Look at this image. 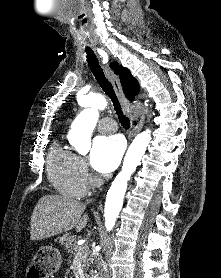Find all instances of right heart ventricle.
Masks as SVG:
<instances>
[{
    "label": "right heart ventricle",
    "mask_w": 221,
    "mask_h": 278,
    "mask_svg": "<svg viewBox=\"0 0 221 278\" xmlns=\"http://www.w3.org/2000/svg\"><path fill=\"white\" fill-rule=\"evenodd\" d=\"M47 172L53 187L63 196L81 198L86 191V177L79 166V157L55 143L47 158Z\"/></svg>",
    "instance_id": "e07e8e85"
}]
</instances>
